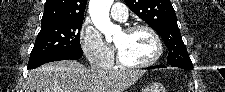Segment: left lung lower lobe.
Instances as JSON below:
<instances>
[{
  "label": "left lung lower lobe",
  "mask_w": 225,
  "mask_h": 92,
  "mask_svg": "<svg viewBox=\"0 0 225 92\" xmlns=\"http://www.w3.org/2000/svg\"><path fill=\"white\" fill-rule=\"evenodd\" d=\"M173 67H179V68H182V69H185V70H192L193 69V65H185V64H177V65H171ZM165 66L164 65H158V66H152V67H149V68H164Z\"/></svg>",
  "instance_id": "1"
}]
</instances>
